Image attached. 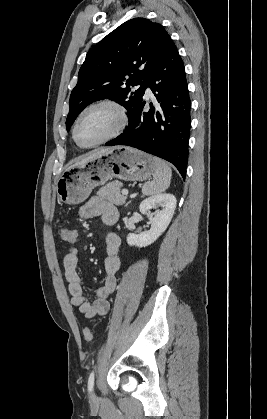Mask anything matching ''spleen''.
I'll list each match as a JSON object with an SVG mask.
<instances>
[{
    "mask_svg": "<svg viewBox=\"0 0 267 419\" xmlns=\"http://www.w3.org/2000/svg\"><path fill=\"white\" fill-rule=\"evenodd\" d=\"M153 161L155 164L153 180L146 182L142 187V193L146 196L160 194L167 190L172 178V170L165 161L157 157H154Z\"/></svg>",
    "mask_w": 267,
    "mask_h": 419,
    "instance_id": "spleen-1",
    "label": "spleen"
}]
</instances>
